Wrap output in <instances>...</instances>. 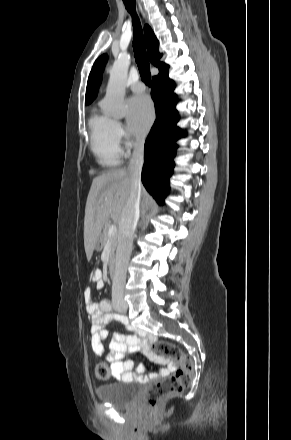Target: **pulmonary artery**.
<instances>
[{
    "mask_svg": "<svg viewBox=\"0 0 291 440\" xmlns=\"http://www.w3.org/2000/svg\"><path fill=\"white\" fill-rule=\"evenodd\" d=\"M131 90L134 93H142L145 91V83L143 81H136L131 85Z\"/></svg>",
    "mask_w": 291,
    "mask_h": 440,
    "instance_id": "e3ab8cb5",
    "label": "pulmonary artery"
}]
</instances>
